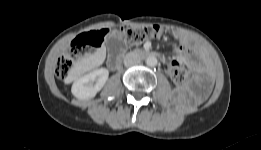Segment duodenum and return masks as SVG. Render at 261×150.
Masks as SVG:
<instances>
[{"mask_svg":"<svg viewBox=\"0 0 261 150\" xmlns=\"http://www.w3.org/2000/svg\"><path fill=\"white\" fill-rule=\"evenodd\" d=\"M133 54L138 57H156L155 53H151L147 50H136ZM121 61L122 57L120 55L113 54L108 60V65L111 69L115 70L120 66Z\"/></svg>","mask_w":261,"mask_h":150,"instance_id":"duodenum-1","label":"duodenum"}]
</instances>
